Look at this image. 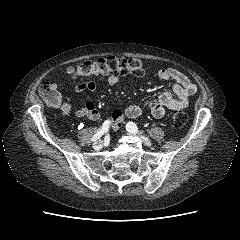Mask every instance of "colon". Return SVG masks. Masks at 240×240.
Returning a JSON list of instances; mask_svg holds the SVG:
<instances>
[{"label":"colon","instance_id":"1","mask_svg":"<svg viewBox=\"0 0 240 240\" xmlns=\"http://www.w3.org/2000/svg\"><path fill=\"white\" fill-rule=\"evenodd\" d=\"M147 73L148 68L140 60L114 56L94 62L87 61L68 70V74L73 80L95 76H144ZM39 93L49 106L54 108L60 106L61 99L51 83H43L39 88ZM171 121L174 126L181 127L186 123L187 115L184 111L176 109L171 114Z\"/></svg>","mask_w":240,"mask_h":240}]
</instances>
